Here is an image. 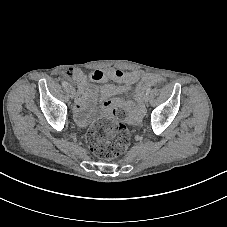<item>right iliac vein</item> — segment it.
<instances>
[{
	"label": "right iliac vein",
	"mask_w": 227,
	"mask_h": 227,
	"mask_svg": "<svg viewBox=\"0 0 227 227\" xmlns=\"http://www.w3.org/2000/svg\"><path fill=\"white\" fill-rule=\"evenodd\" d=\"M69 93H70V97L74 98V96H75V88L73 86H71L69 88Z\"/></svg>",
	"instance_id": "obj_1"
}]
</instances>
